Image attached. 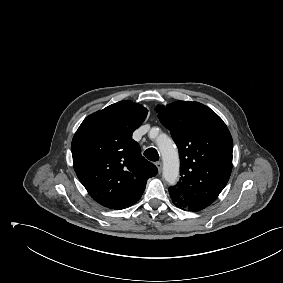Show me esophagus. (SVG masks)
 <instances>
[{
	"label": "esophagus",
	"mask_w": 283,
	"mask_h": 283,
	"mask_svg": "<svg viewBox=\"0 0 283 283\" xmlns=\"http://www.w3.org/2000/svg\"><path fill=\"white\" fill-rule=\"evenodd\" d=\"M156 167L158 169V172L160 173L162 171V162L160 161L156 162Z\"/></svg>",
	"instance_id": "obj_1"
}]
</instances>
